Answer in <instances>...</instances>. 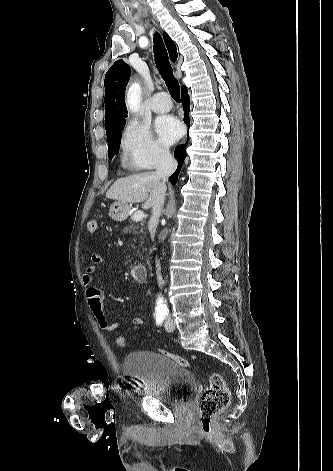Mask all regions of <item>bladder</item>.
<instances>
[{
    "label": "bladder",
    "mask_w": 333,
    "mask_h": 471,
    "mask_svg": "<svg viewBox=\"0 0 333 471\" xmlns=\"http://www.w3.org/2000/svg\"><path fill=\"white\" fill-rule=\"evenodd\" d=\"M125 376L140 382V393L167 405H179L197 388L194 375L165 355L154 351L129 353L122 364Z\"/></svg>",
    "instance_id": "1"
}]
</instances>
